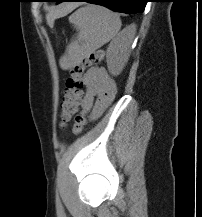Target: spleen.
<instances>
[{"label": "spleen", "mask_w": 202, "mask_h": 217, "mask_svg": "<svg viewBox=\"0 0 202 217\" xmlns=\"http://www.w3.org/2000/svg\"><path fill=\"white\" fill-rule=\"evenodd\" d=\"M69 22L78 31L77 40L67 46L68 56L72 60L88 55L109 42L121 28L119 15L99 5L78 9L69 17ZM128 33L132 39L135 29L128 30Z\"/></svg>", "instance_id": "obj_1"}]
</instances>
